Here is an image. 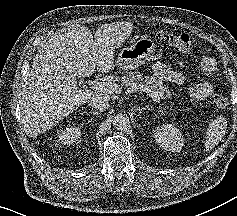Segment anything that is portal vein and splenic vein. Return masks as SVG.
Instances as JSON below:
<instances>
[{"mask_svg": "<svg viewBox=\"0 0 237 216\" xmlns=\"http://www.w3.org/2000/svg\"><path fill=\"white\" fill-rule=\"evenodd\" d=\"M90 85H91V88L93 89L102 88L106 90L107 92H111V93L117 92V90L119 89V85L111 83V82H99L96 84V81H92Z\"/></svg>", "mask_w": 237, "mask_h": 216, "instance_id": "18ae733b", "label": "portal vein and splenic vein"}]
</instances>
